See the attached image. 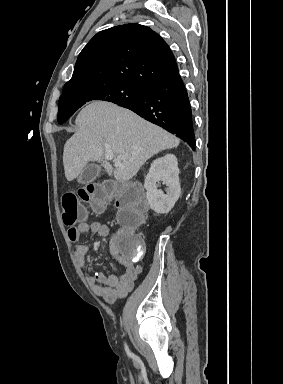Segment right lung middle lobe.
Returning <instances> with one entry per match:
<instances>
[{"label":"right lung middle lobe","mask_w":283,"mask_h":384,"mask_svg":"<svg viewBox=\"0 0 283 384\" xmlns=\"http://www.w3.org/2000/svg\"><path fill=\"white\" fill-rule=\"evenodd\" d=\"M145 91L143 87L121 81L64 88L58 103V123L66 122L86 102L104 100L120 104L140 98Z\"/></svg>","instance_id":"obj_1"}]
</instances>
